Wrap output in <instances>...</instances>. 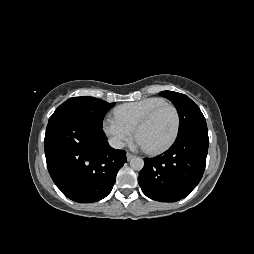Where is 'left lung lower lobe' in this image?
<instances>
[{"mask_svg":"<svg viewBox=\"0 0 254 254\" xmlns=\"http://www.w3.org/2000/svg\"><path fill=\"white\" fill-rule=\"evenodd\" d=\"M208 133L177 138L163 154L144 158L138 182L143 193L160 202H176L189 195L204 173Z\"/></svg>","mask_w":254,"mask_h":254,"instance_id":"1","label":"left lung lower lobe"}]
</instances>
